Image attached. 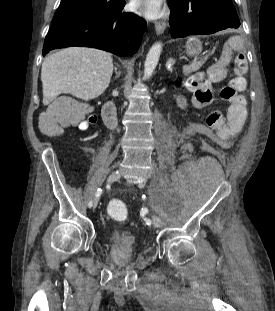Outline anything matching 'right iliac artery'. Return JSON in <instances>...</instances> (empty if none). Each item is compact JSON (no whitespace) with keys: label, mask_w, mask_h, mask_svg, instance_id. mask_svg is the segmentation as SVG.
Segmentation results:
<instances>
[{"label":"right iliac artery","mask_w":275,"mask_h":311,"mask_svg":"<svg viewBox=\"0 0 275 311\" xmlns=\"http://www.w3.org/2000/svg\"><path fill=\"white\" fill-rule=\"evenodd\" d=\"M102 194V189H97V191H96V193H95V197L96 198H98V197H100V195ZM92 205H93V202L92 201H90L89 203H88V207H92Z\"/></svg>","instance_id":"obj_1"}]
</instances>
